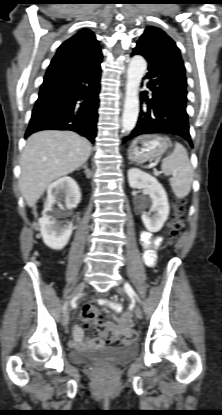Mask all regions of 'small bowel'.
<instances>
[{
  "label": "small bowel",
  "mask_w": 222,
  "mask_h": 415,
  "mask_svg": "<svg viewBox=\"0 0 222 415\" xmlns=\"http://www.w3.org/2000/svg\"><path fill=\"white\" fill-rule=\"evenodd\" d=\"M141 245L144 249V259H145V263L149 266L153 265L156 261V251L157 248L161 242V237L160 236H154L153 234L149 233V232H144L141 235ZM116 308L118 309L119 306L116 305ZM129 318L128 316H122L121 318L118 319V323L119 324H124V323H128ZM103 339L102 337H99L95 340L92 341H85L83 338V330L80 326L76 325L74 327V339L72 341V345L74 346H80V345H84L86 343H92V344H102Z\"/></svg>",
  "instance_id": "1"
}]
</instances>
